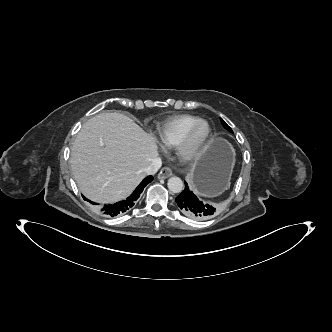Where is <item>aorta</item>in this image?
Returning <instances> with one entry per match:
<instances>
[{
  "label": "aorta",
  "mask_w": 332,
  "mask_h": 332,
  "mask_svg": "<svg viewBox=\"0 0 332 332\" xmlns=\"http://www.w3.org/2000/svg\"><path fill=\"white\" fill-rule=\"evenodd\" d=\"M167 186L173 193H180L184 187L182 180L176 176L168 179Z\"/></svg>",
  "instance_id": "aorta-1"
}]
</instances>
